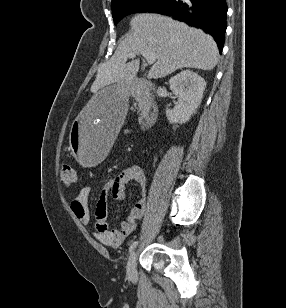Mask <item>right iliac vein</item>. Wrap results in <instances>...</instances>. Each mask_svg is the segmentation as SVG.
<instances>
[{
  "label": "right iliac vein",
  "instance_id": "right-iliac-vein-1",
  "mask_svg": "<svg viewBox=\"0 0 286 308\" xmlns=\"http://www.w3.org/2000/svg\"><path fill=\"white\" fill-rule=\"evenodd\" d=\"M137 251H132L127 263V275L133 278L136 274Z\"/></svg>",
  "mask_w": 286,
  "mask_h": 308
}]
</instances>
